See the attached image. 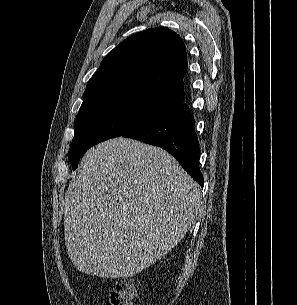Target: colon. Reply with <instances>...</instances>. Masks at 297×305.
Segmentation results:
<instances>
[{"label":"colon","instance_id":"1","mask_svg":"<svg viewBox=\"0 0 297 305\" xmlns=\"http://www.w3.org/2000/svg\"><path fill=\"white\" fill-rule=\"evenodd\" d=\"M139 292L140 287L136 280L122 278L117 282L106 305H141Z\"/></svg>","mask_w":297,"mask_h":305}]
</instances>
